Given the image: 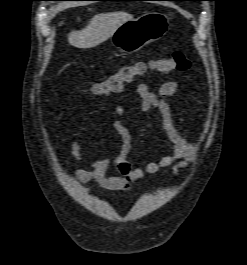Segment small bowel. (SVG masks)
<instances>
[{
  "mask_svg": "<svg viewBox=\"0 0 247 265\" xmlns=\"http://www.w3.org/2000/svg\"><path fill=\"white\" fill-rule=\"evenodd\" d=\"M134 87L141 98L140 110L142 112L155 110L159 114L163 134L173 146L172 153L163 156L158 161L149 162L142 168H134L128 160L134 148V142L127 127L118 120L114 123V129L120 137L121 145L116 154L87 162L82 158L81 145L78 142L72 143V157L82 166L75 170V176L83 184L94 182L108 190L128 193L132 190L134 183L146 175L155 174L166 168H171L172 175H178L194 161L197 146L178 132L168 102L170 97L178 93V84L173 81L165 82L158 91H153L145 83H136ZM114 111L118 116L124 113L120 105H115ZM111 169H115L119 175H110Z\"/></svg>",
  "mask_w": 247,
  "mask_h": 265,
  "instance_id": "1",
  "label": "small bowel"
}]
</instances>
